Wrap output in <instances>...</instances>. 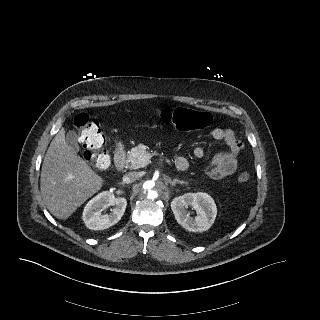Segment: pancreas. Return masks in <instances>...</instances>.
<instances>
[{"label":"pancreas","instance_id":"obj_1","mask_svg":"<svg viewBox=\"0 0 320 320\" xmlns=\"http://www.w3.org/2000/svg\"><path fill=\"white\" fill-rule=\"evenodd\" d=\"M148 154L147 147L143 144L133 147L128 152V157L126 160L127 166L131 169L145 167L149 162V159L145 158Z\"/></svg>","mask_w":320,"mask_h":320}]
</instances>
